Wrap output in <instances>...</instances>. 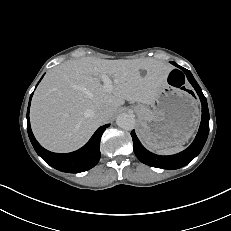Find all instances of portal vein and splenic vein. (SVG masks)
I'll list each match as a JSON object with an SVG mask.
<instances>
[{
	"instance_id": "18ae733b",
	"label": "portal vein and splenic vein",
	"mask_w": 231,
	"mask_h": 231,
	"mask_svg": "<svg viewBox=\"0 0 231 231\" xmlns=\"http://www.w3.org/2000/svg\"><path fill=\"white\" fill-rule=\"evenodd\" d=\"M102 81L104 83L103 87L106 91H111L113 86H112V81L107 75H102Z\"/></svg>"
}]
</instances>
